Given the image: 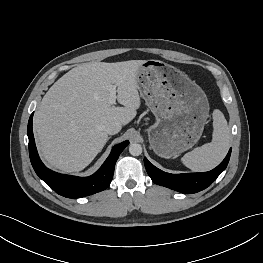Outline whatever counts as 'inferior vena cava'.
Here are the masks:
<instances>
[{"instance_id": "obj_1", "label": "inferior vena cava", "mask_w": 263, "mask_h": 263, "mask_svg": "<svg viewBox=\"0 0 263 263\" xmlns=\"http://www.w3.org/2000/svg\"><path fill=\"white\" fill-rule=\"evenodd\" d=\"M122 128L120 122H110L105 126V132L110 135L118 133Z\"/></svg>"}]
</instances>
